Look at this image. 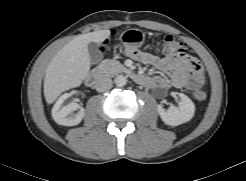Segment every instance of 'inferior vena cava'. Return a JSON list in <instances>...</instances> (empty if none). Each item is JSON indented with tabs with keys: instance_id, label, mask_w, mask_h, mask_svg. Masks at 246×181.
Wrapping results in <instances>:
<instances>
[{
	"instance_id": "inferior-vena-cava-1",
	"label": "inferior vena cava",
	"mask_w": 246,
	"mask_h": 181,
	"mask_svg": "<svg viewBox=\"0 0 246 181\" xmlns=\"http://www.w3.org/2000/svg\"><path fill=\"white\" fill-rule=\"evenodd\" d=\"M95 88L98 92H104L112 88V80L109 77L103 76L98 78L95 84Z\"/></svg>"
}]
</instances>
